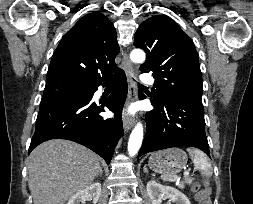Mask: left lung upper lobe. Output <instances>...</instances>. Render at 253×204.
I'll return each instance as SVG.
<instances>
[{"label":"left lung upper lobe","instance_id":"1","mask_svg":"<svg viewBox=\"0 0 253 204\" xmlns=\"http://www.w3.org/2000/svg\"><path fill=\"white\" fill-rule=\"evenodd\" d=\"M134 46L147 54L140 70L152 72L156 79L153 91L156 103L202 97L198 53L191 38L175 21L163 15L148 18L138 27Z\"/></svg>","mask_w":253,"mask_h":204}]
</instances>
